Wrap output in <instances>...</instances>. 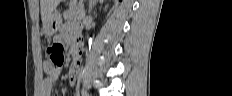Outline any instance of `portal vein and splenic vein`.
<instances>
[{
	"label": "portal vein and splenic vein",
	"instance_id": "portal-vein-and-splenic-vein-1",
	"mask_svg": "<svg viewBox=\"0 0 232 96\" xmlns=\"http://www.w3.org/2000/svg\"><path fill=\"white\" fill-rule=\"evenodd\" d=\"M85 12L82 13V15L80 16V19L84 16Z\"/></svg>",
	"mask_w": 232,
	"mask_h": 96
}]
</instances>
